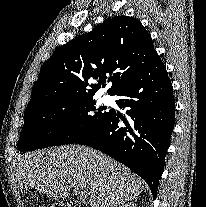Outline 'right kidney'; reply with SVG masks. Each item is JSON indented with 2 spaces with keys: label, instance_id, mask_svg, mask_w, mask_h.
I'll list each match as a JSON object with an SVG mask.
<instances>
[{
  "label": "right kidney",
  "instance_id": "ca27d5eb",
  "mask_svg": "<svg viewBox=\"0 0 206 207\" xmlns=\"http://www.w3.org/2000/svg\"><path fill=\"white\" fill-rule=\"evenodd\" d=\"M120 207H137L136 204L134 202H131V203H126V204H123L122 206Z\"/></svg>",
  "mask_w": 206,
  "mask_h": 207
}]
</instances>
